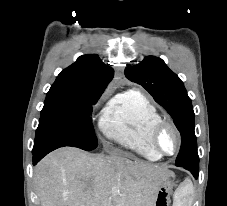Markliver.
I'll return each instance as SVG.
<instances>
[{"mask_svg":"<svg viewBox=\"0 0 227 206\" xmlns=\"http://www.w3.org/2000/svg\"><path fill=\"white\" fill-rule=\"evenodd\" d=\"M171 176L158 165L73 147L53 151L34 170L41 206H153Z\"/></svg>","mask_w":227,"mask_h":206,"instance_id":"1","label":"liver"}]
</instances>
